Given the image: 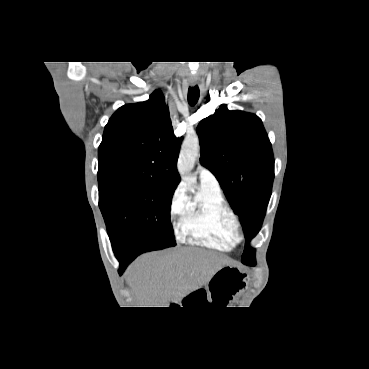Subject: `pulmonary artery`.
<instances>
[{
	"label": "pulmonary artery",
	"mask_w": 369,
	"mask_h": 369,
	"mask_svg": "<svg viewBox=\"0 0 369 369\" xmlns=\"http://www.w3.org/2000/svg\"><path fill=\"white\" fill-rule=\"evenodd\" d=\"M198 177L200 180L201 185L213 188V189H220L219 182L215 175L208 170L204 166H198L197 168Z\"/></svg>",
	"instance_id": "obj_1"
}]
</instances>
